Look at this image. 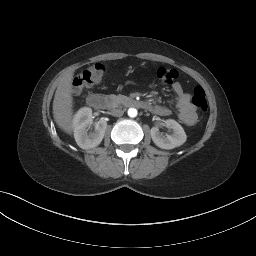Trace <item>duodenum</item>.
<instances>
[{"label":"duodenum","instance_id":"1","mask_svg":"<svg viewBox=\"0 0 256 256\" xmlns=\"http://www.w3.org/2000/svg\"><path fill=\"white\" fill-rule=\"evenodd\" d=\"M87 104L93 109H103L107 104V98L104 95L92 93L87 97ZM129 104L138 108H148V104L144 101L132 99Z\"/></svg>","mask_w":256,"mask_h":256}]
</instances>
